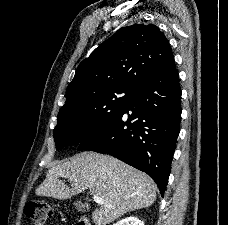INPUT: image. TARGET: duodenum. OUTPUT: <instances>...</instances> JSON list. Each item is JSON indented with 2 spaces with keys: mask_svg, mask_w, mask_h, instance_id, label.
Listing matches in <instances>:
<instances>
[{
  "mask_svg": "<svg viewBox=\"0 0 228 225\" xmlns=\"http://www.w3.org/2000/svg\"><path fill=\"white\" fill-rule=\"evenodd\" d=\"M77 225H90L89 219L86 216H82L78 221Z\"/></svg>",
  "mask_w": 228,
  "mask_h": 225,
  "instance_id": "1",
  "label": "duodenum"
}]
</instances>
